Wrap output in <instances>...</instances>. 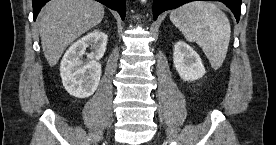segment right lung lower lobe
Here are the masks:
<instances>
[{
	"instance_id": "right-lung-lower-lobe-1",
	"label": "right lung lower lobe",
	"mask_w": 276,
	"mask_h": 145,
	"mask_svg": "<svg viewBox=\"0 0 276 145\" xmlns=\"http://www.w3.org/2000/svg\"><path fill=\"white\" fill-rule=\"evenodd\" d=\"M49 0H32L33 3V18L34 20L36 19L38 13L41 10V7L48 2ZM107 7L116 10L122 19L125 18V13H126V5H125V0H96Z\"/></svg>"
}]
</instances>
